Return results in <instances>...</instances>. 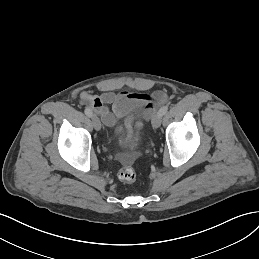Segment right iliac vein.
<instances>
[{"instance_id": "obj_1", "label": "right iliac vein", "mask_w": 259, "mask_h": 259, "mask_svg": "<svg viewBox=\"0 0 259 259\" xmlns=\"http://www.w3.org/2000/svg\"><path fill=\"white\" fill-rule=\"evenodd\" d=\"M92 123L94 128L99 131L101 129V122L99 120V118L96 115L92 116Z\"/></svg>"}]
</instances>
